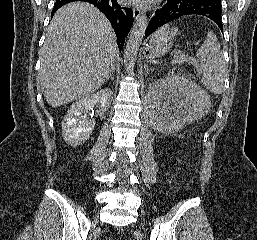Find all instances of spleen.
<instances>
[{
	"instance_id": "obj_1",
	"label": "spleen",
	"mask_w": 257,
	"mask_h": 240,
	"mask_svg": "<svg viewBox=\"0 0 257 240\" xmlns=\"http://www.w3.org/2000/svg\"><path fill=\"white\" fill-rule=\"evenodd\" d=\"M178 28L171 30V35L174 36ZM168 32V25L159 29L152 35L151 38H157L160 33ZM196 56L199 65H196V72L202 75L201 82L203 85L214 94H221L224 91V81L227 74V68L222 55L219 41L216 35L209 31L204 43L198 49Z\"/></svg>"
}]
</instances>
